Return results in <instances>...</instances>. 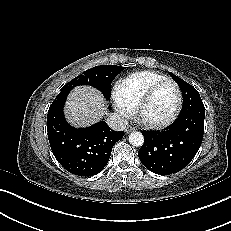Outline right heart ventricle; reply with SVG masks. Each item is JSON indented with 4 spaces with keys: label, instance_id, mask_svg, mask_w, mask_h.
Listing matches in <instances>:
<instances>
[{
    "label": "right heart ventricle",
    "instance_id": "obj_1",
    "mask_svg": "<svg viewBox=\"0 0 231 231\" xmlns=\"http://www.w3.org/2000/svg\"><path fill=\"white\" fill-rule=\"evenodd\" d=\"M165 77L154 71H141L122 80L115 91L118 100L129 108H134L143 94Z\"/></svg>",
    "mask_w": 231,
    "mask_h": 231
}]
</instances>
